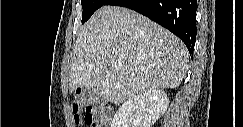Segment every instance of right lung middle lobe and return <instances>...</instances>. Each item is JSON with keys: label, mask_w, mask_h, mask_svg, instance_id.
I'll list each match as a JSON object with an SVG mask.
<instances>
[{"label": "right lung middle lobe", "mask_w": 243, "mask_h": 127, "mask_svg": "<svg viewBox=\"0 0 243 127\" xmlns=\"http://www.w3.org/2000/svg\"><path fill=\"white\" fill-rule=\"evenodd\" d=\"M108 0H81L83 9L82 23H85L92 14L101 6L105 5Z\"/></svg>", "instance_id": "right-lung-middle-lobe-1"}]
</instances>
